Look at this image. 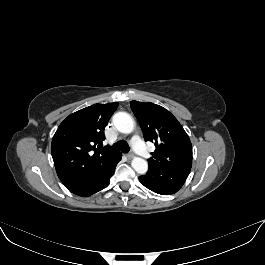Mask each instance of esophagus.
Listing matches in <instances>:
<instances>
[{
	"instance_id": "1",
	"label": "esophagus",
	"mask_w": 265,
	"mask_h": 265,
	"mask_svg": "<svg viewBox=\"0 0 265 265\" xmlns=\"http://www.w3.org/2000/svg\"><path fill=\"white\" fill-rule=\"evenodd\" d=\"M126 156L128 159H132L135 157V155L133 153H128Z\"/></svg>"
}]
</instances>
